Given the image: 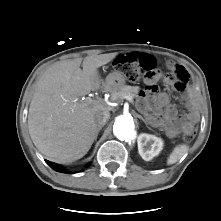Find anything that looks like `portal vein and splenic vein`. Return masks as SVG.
I'll use <instances>...</instances> for the list:
<instances>
[{
	"label": "portal vein and splenic vein",
	"mask_w": 221,
	"mask_h": 221,
	"mask_svg": "<svg viewBox=\"0 0 221 221\" xmlns=\"http://www.w3.org/2000/svg\"><path fill=\"white\" fill-rule=\"evenodd\" d=\"M124 99H126L127 101H129L130 103L133 104V98L131 96H125ZM87 103L89 104H92L93 102H96V101H93L91 98H88L87 100Z\"/></svg>",
	"instance_id": "obj_1"
}]
</instances>
